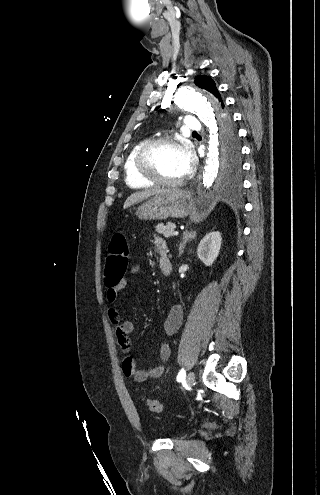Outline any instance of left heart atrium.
I'll return each mask as SVG.
<instances>
[{"label": "left heart atrium", "mask_w": 320, "mask_h": 495, "mask_svg": "<svg viewBox=\"0 0 320 495\" xmlns=\"http://www.w3.org/2000/svg\"><path fill=\"white\" fill-rule=\"evenodd\" d=\"M193 162H194V157L192 155V153L190 151H187L185 153V157H184V171H185V174L189 173L192 165H193Z\"/></svg>", "instance_id": "1"}]
</instances>
